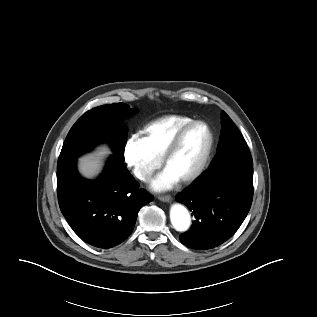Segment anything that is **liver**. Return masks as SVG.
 Segmentation results:
<instances>
[{
    "label": "liver",
    "mask_w": 317,
    "mask_h": 317,
    "mask_svg": "<svg viewBox=\"0 0 317 317\" xmlns=\"http://www.w3.org/2000/svg\"><path fill=\"white\" fill-rule=\"evenodd\" d=\"M109 148L106 146L100 147L95 153L88 154L79 159L78 168L80 173L87 177L92 178L96 174L99 173V171L102 168L103 161L102 159L110 154Z\"/></svg>",
    "instance_id": "1"
}]
</instances>
